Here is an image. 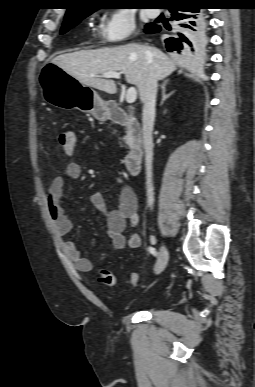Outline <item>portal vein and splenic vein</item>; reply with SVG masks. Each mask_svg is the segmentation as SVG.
<instances>
[{"instance_id": "obj_1", "label": "portal vein and splenic vein", "mask_w": 255, "mask_h": 387, "mask_svg": "<svg viewBox=\"0 0 255 387\" xmlns=\"http://www.w3.org/2000/svg\"><path fill=\"white\" fill-rule=\"evenodd\" d=\"M101 77L103 78H116V79H120V73L119 72H106V73H103L101 75ZM136 98H137V91H136V88L135 87H130L128 90H127V93H126V102L129 103V104H132L136 101Z\"/></svg>"}]
</instances>
